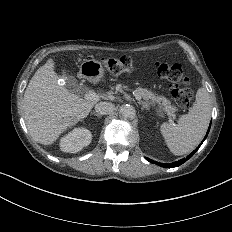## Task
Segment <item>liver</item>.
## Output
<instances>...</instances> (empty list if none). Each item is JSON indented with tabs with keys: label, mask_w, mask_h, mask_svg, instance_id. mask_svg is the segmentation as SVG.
<instances>
[{
	"label": "liver",
	"mask_w": 232,
	"mask_h": 232,
	"mask_svg": "<svg viewBox=\"0 0 232 232\" xmlns=\"http://www.w3.org/2000/svg\"><path fill=\"white\" fill-rule=\"evenodd\" d=\"M58 79L50 58L35 72L24 93L27 128L43 145L52 144L68 127L85 118L95 104L70 93Z\"/></svg>",
	"instance_id": "obj_1"
}]
</instances>
